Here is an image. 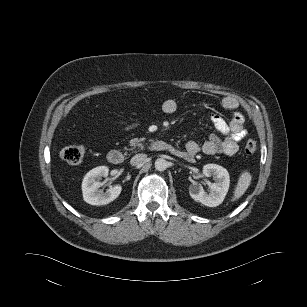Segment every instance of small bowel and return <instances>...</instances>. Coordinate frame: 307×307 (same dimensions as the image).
Instances as JSON below:
<instances>
[{"mask_svg":"<svg viewBox=\"0 0 307 307\" xmlns=\"http://www.w3.org/2000/svg\"><path fill=\"white\" fill-rule=\"evenodd\" d=\"M221 105L225 110L233 112L230 121H227L220 113L214 112L211 121L218 134H212L203 144L196 141H188L183 150L176 152L185 159L194 158L199 152L207 155L225 154L232 156L238 151V143L246 135L244 128V118L239 112L240 104L234 97H224ZM177 102L172 99L165 100L162 110L167 114H172L177 110ZM136 127V124H124L126 131Z\"/></svg>","mask_w":307,"mask_h":307,"instance_id":"small-bowel-1","label":"small bowel"}]
</instances>
